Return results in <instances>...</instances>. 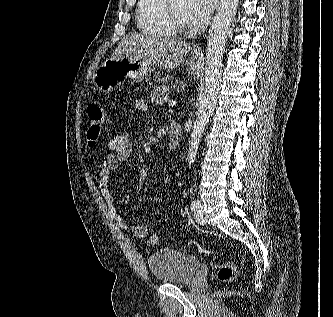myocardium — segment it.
Returning a JSON list of instances; mask_svg holds the SVG:
<instances>
[{"instance_id": "obj_1", "label": "myocardium", "mask_w": 333, "mask_h": 317, "mask_svg": "<svg viewBox=\"0 0 333 317\" xmlns=\"http://www.w3.org/2000/svg\"><path fill=\"white\" fill-rule=\"evenodd\" d=\"M162 10L167 23L176 32L186 33L189 31V26L176 17L173 11V0H163Z\"/></svg>"}]
</instances>
